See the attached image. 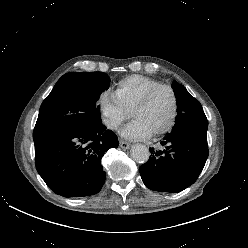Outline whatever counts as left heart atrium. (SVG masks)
I'll list each match as a JSON object with an SVG mask.
<instances>
[{
    "label": "left heart atrium",
    "mask_w": 248,
    "mask_h": 248,
    "mask_svg": "<svg viewBox=\"0 0 248 248\" xmlns=\"http://www.w3.org/2000/svg\"><path fill=\"white\" fill-rule=\"evenodd\" d=\"M121 135L129 140H143L148 138L151 133L143 123L133 119L122 129Z\"/></svg>",
    "instance_id": "left-heart-atrium-1"
}]
</instances>
